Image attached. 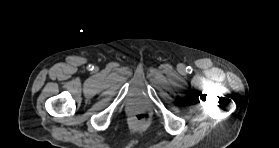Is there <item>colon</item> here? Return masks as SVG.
Returning <instances> with one entry per match:
<instances>
[{
  "mask_svg": "<svg viewBox=\"0 0 279 148\" xmlns=\"http://www.w3.org/2000/svg\"><path fill=\"white\" fill-rule=\"evenodd\" d=\"M134 118L138 122L145 123L148 121L149 116L147 114H137Z\"/></svg>",
  "mask_w": 279,
  "mask_h": 148,
  "instance_id": "1",
  "label": "colon"
}]
</instances>
